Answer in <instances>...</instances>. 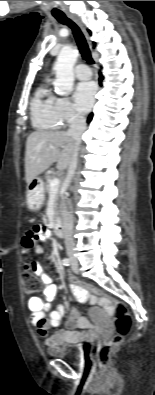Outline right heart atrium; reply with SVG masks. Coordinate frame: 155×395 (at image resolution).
Instances as JSON below:
<instances>
[{
    "label": "right heart atrium",
    "mask_w": 155,
    "mask_h": 395,
    "mask_svg": "<svg viewBox=\"0 0 155 395\" xmlns=\"http://www.w3.org/2000/svg\"><path fill=\"white\" fill-rule=\"evenodd\" d=\"M54 112L59 127L68 126L82 120V117L68 98H56Z\"/></svg>",
    "instance_id": "right-heart-atrium-1"
}]
</instances>
